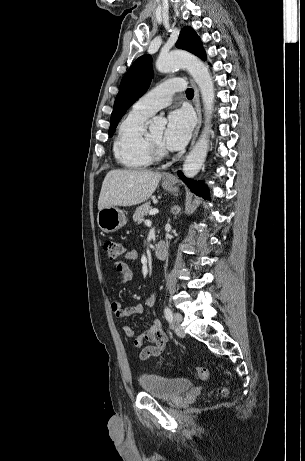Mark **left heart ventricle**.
Listing matches in <instances>:
<instances>
[{"mask_svg": "<svg viewBox=\"0 0 305 461\" xmlns=\"http://www.w3.org/2000/svg\"><path fill=\"white\" fill-rule=\"evenodd\" d=\"M151 139L158 145L163 146V128L156 129L149 133Z\"/></svg>", "mask_w": 305, "mask_h": 461, "instance_id": "obj_1", "label": "left heart ventricle"}]
</instances>
